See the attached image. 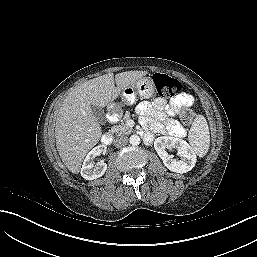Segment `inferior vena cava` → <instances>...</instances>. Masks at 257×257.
<instances>
[{"label": "inferior vena cava", "instance_id": "inferior-vena-cava-1", "mask_svg": "<svg viewBox=\"0 0 257 257\" xmlns=\"http://www.w3.org/2000/svg\"><path fill=\"white\" fill-rule=\"evenodd\" d=\"M127 143H128V137L124 135L117 137L114 141V145L118 148L125 146Z\"/></svg>", "mask_w": 257, "mask_h": 257}]
</instances>
